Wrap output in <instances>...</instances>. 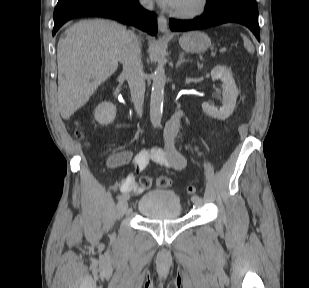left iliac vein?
<instances>
[{
  "label": "left iliac vein",
  "mask_w": 309,
  "mask_h": 288,
  "mask_svg": "<svg viewBox=\"0 0 309 288\" xmlns=\"http://www.w3.org/2000/svg\"><path fill=\"white\" fill-rule=\"evenodd\" d=\"M196 206H200L202 204V200L199 198V199H196L194 201H192Z\"/></svg>",
  "instance_id": "4c4485c4"
}]
</instances>
